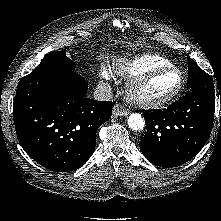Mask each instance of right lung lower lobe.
<instances>
[{
	"label": "right lung lower lobe",
	"instance_id": "1",
	"mask_svg": "<svg viewBox=\"0 0 221 221\" xmlns=\"http://www.w3.org/2000/svg\"><path fill=\"white\" fill-rule=\"evenodd\" d=\"M88 84L76 71L51 69L23 77L13 103L16 134L37 163L67 172L82 167L95 149L100 125L114 103L87 98Z\"/></svg>",
	"mask_w": 221,
	"mask_h": 221
}]
</instances>
